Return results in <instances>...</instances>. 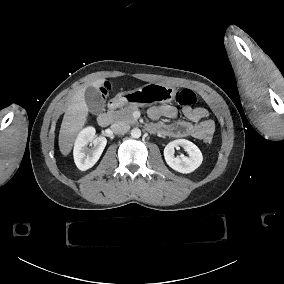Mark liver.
Segmentation results:
<instances>
[{
	"instance_id": "6515ba94",
	"label": "liver",
	"mask_w": 284,
	"mask_h": 284,
	"mask_svg": "<svg viewBox=\"0 0 284 284\" xmlns=\"http://www.w3.org/2000/svg\"><path fill=\"white\" fill-rule=\"evenodd\" d=\"M105 79L90 80L81 86L66 104L67 108L59 133V148L63 155H68L73 147L75 137L86 122L88 106L85 102V91L88 86L96 89L103 86Z\"/></svg>"
}]
</instances>
